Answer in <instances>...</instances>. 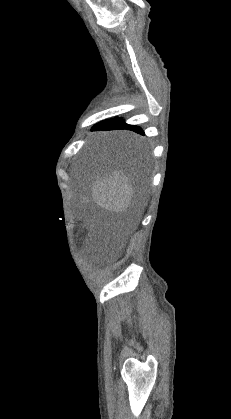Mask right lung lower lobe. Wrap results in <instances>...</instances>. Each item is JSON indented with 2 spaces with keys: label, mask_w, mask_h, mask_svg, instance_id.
Here are the masks:
<instances>
[{
  "label": "right lung lower lobe",
  "mask_w": 231,
  "mask_h": 419,
  "mask_svg": "<svg viewBox=\"0 0 231 419\" xmlns=\"http://www.w3.org/2000/svg\"><path fill=\"white\" fill-rule=\"evenodd\" d=\"M117 129H128L132 130L134 132H137L139 134H143L144 132L142 129L135 125H129L126 124L122 119L120 118H113L107 121H102L98 124H96L92 130H117Z\"/></svg>",
  "instance_id": "obj_1"
}]
</instances>
